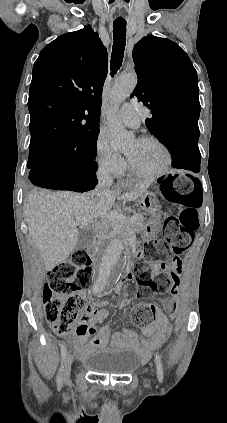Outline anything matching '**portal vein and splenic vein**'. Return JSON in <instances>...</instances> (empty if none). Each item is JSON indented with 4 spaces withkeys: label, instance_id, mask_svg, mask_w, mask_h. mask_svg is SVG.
Listing matches in <instances>:
<instances>
[{
    "label": "portal vein and splenic vein",
    "instance_id": "18ae733b",
    "mask_svg": "<svg viewBox=\"0 0 227 423\" xmlns=\"http://www.w3.org/2000/svg\"><path fill=\"white\" fill-rule=\"evenodd\" d=\"M99 217H108V219H118V221H130V223H135V217H127L124 213H119V211H103L100 213Z\"/></svg>",
    "mask_w": 227,
    "mask_h": 423
}]
</instances>
